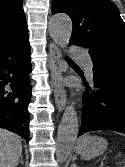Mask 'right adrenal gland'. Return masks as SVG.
Masks as SVG:
<instances>
[{
  "label": "right adrenal gland",
  "instance_id": "2a0ac1e0",
  "mask_svg": "<svg viewBox=\"0 0 125 167\" xmlns=\"http://www.w3.org/2000/svg\"><path fill=\"white\" fill-rule=\"evenodd\" d=\"M20 163H21L22 165L24 164V162H23V155L20 156V159H19V161L17 162L16 165L18 166Z\"/></svg>",
  "mask_w": 125,
  "mask_h": 167
}]
</instances>
